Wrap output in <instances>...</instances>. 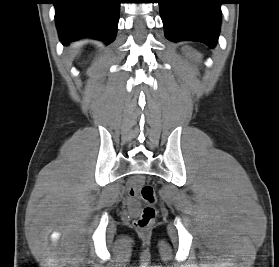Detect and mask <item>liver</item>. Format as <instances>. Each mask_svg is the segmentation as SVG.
Instances as JSON below:
<instances>
[{
  "mask_svg": "<svg viewBox=\"0 0 279 267\" xmlns=\"http://www.w3.org/2000/svg\"><path fill=\"white\" fill-rule=\"evenodd\" d=\"M85 41H80L79 43H77L76 48H75V54H78L80 48L84 45Z\"/></svg>",
  "mask_w": 279,
  "mask_h": 267,
  "instance_id": "1",
  "label": "liver"
}]
</instances>
